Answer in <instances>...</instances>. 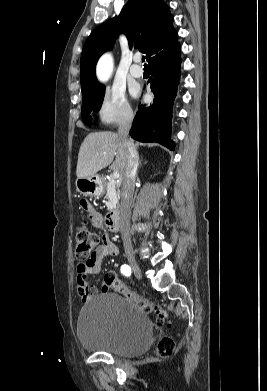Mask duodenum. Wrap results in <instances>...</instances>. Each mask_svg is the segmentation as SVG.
Returning <instances> with one entry per match:
<instances>
[{
    "instance_id": "1",
    "label": "duodenum",
    "mask_w": 267,
    "mask_h": 391,
    "mask_svg": "<svg viewBox=\"0 0 267 391\" xmlns=\"http://www.w3.org/2000/svg\"><path fill=\"white\" fill-rule=\"evenodd\" d=\"M119 210L111 209L105 216L104 225L109 232H116L119 228Z\"/></svg>"
}]
</instances>
